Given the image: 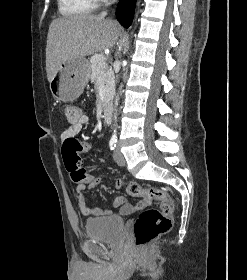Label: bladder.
Returning a JSON list of instances; mask_svg holds the SVG:
<instances>
[{
	"instance_id": "obj_1",
	"label": "bladder",
	"mask_w": 247,
	"mask_h": 280,
	"mask_svg": "<svg viewBox=\"0 0 247 280\" xmlns=\"http://www.w3.org/2000/svg\"><path fill=\"white\" fill-rule=\"evenodd\" d=\"M124 227V219L119 216H102L85 221V235L90 240L112 242L119 238Z\"/></svg>"
}]
</instances>
